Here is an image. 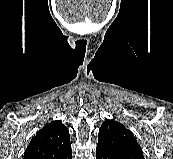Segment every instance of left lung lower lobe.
<instances>
[{
  "label": "left lung lower lobe",
  "instance_id": "0a47b994",
  "mask_svg": "<svg viewBox=\"0 0 173 159\" xmlns=\"http://www.w3.org/2000/svg\"><path fill=\"white\" fill-rule=\"evenodd\" d=\"M96 159H118L101 148H96Z\"/></svg>",
  "mask_w": 173,
  "mask_h": 159
}]
</instances>
